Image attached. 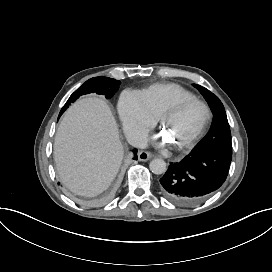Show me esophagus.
I'll list each match as a JSON object with an SVG mask.
<instances>
[{"mask_svg":"<svg viewBox=\"0 0 272 272\" xmlns=\"http://www.w3.org/2000/svg\"><path fill=\"white\" fill-rule=\"evenodd\" d=\"M152 158V155L147 151H140L138 153V159L139 161L145 162Z\"/></svg>","mask_w":272,"mask_h":272,"instance_id":"34e87169","label":"esophagus"}]
</instances>
